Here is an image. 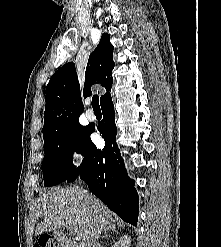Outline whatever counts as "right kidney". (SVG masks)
I'll use <instances>...</instances> for the list:
<instances>
[{
    "mask_svg": "<svg viewBox=\"0 0 221 247\" xmlns=\"http://www.w3.org/2000/svg\"><path fill=\"white\" fill-rule=\"evenodd\" d=\"M130 244V237H128V235H124L113 245V247H129Z\"/></svg>",
    "mask_w": 221,
    "mask_h": 247,
    "instance_id": "1",
    "label": "right kidney"
}]
</instances>
